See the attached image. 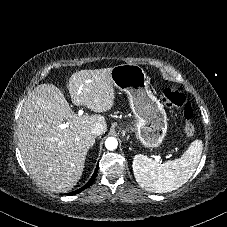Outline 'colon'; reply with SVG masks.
<instances>
[{
  "instance_id": "obj_1",
  "label": "colon",
  "mask_w": 227,
  "mask_h": 227,
  "mask_svg": "<svg viewBox=\"0 0 227 227\" xmlns=\"http://www.w3.org/2000/svg\"><path fill=\"white\" fill-rule=\"evenodd\" d=\"M163 102L170 108H181L183 118L185 120L184 129L187 135L194 133V125L192 123L193 108L185 96L176 88L167 87L163 90Z\"/></svg>"
}]
</instances>
